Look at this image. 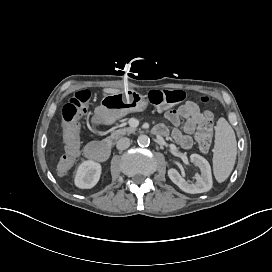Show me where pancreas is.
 <instances>
[{
  "label": "pancreas",
  "instance_id": "obj_1",
  "mask_svg": "<svg viewBox=\"0 0 272 272\" xmlns=\"http://www.w3.org/2000/svg\"><path fill=\"white\" fill-rule=\"evenodd\" d=\"M114 121L115 120H113L109 124L114 123ZM135 131H136V128H133V127H126V128L118 129V130L113 131L111 133V135L105 139V141H109V142L113 143V142L117 141L119 138H121L123 135L131 134V133H134Z\"/></svg>",
  "mask_w": 272,
  "mask_h": 272
}]
</instances>
